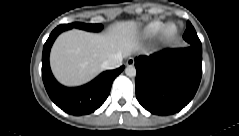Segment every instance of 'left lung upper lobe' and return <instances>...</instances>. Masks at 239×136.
<instances>
[{"mask_svg": "<svg viewBox=\"0 0 239 136\" xmlns=\"http://www.w3.org/2000/svg\"><path fill=\"white\" fill-rule=\"evenodd\" d=\"M183 39L189 45L195 46L197 48H202L201 47V42H200V40L197 36V33H196L194 27L192 26V24L189 21L187 22V28L184 32Z\"/></svg>", "mask_w": 239, "mask_h": 136, "instance_id": "obj_1", "label": "left lung upper lobe"}]
</instances>
